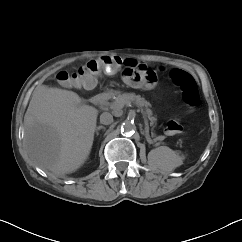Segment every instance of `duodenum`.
<instances>
[{"label":"duodenum","instance_id":"410a0bca","mask_svg":"<svg viewBox=\"0 0 242 242\" xmlns=\"http://www.w3.org/2000/svg\"><path fill=\"white\" fill-rule=\"evenodd\" d=\"M108 97H109V94H107V93H99L92 97V101L96 104H99V103L105 101L106 99H108Z\"/></svg>","mask_w":242,"mask_h":242}]
</instances>
